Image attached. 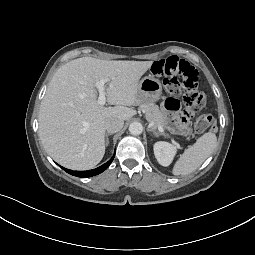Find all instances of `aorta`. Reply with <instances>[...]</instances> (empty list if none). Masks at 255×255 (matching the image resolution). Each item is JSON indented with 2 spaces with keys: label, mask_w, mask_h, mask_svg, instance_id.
Here are the masks:
<instances>
[{
  "label": "aorta",
  "mask_w": 255,
  "mask_h": 255,
  "mask_svg": "<svg viewBox=\"0 0 255 255\" xmlns=\"http://www.w3.org/2000/svg\"><path fill=\"white\" fill-rule=\"evenodd\" d=\"M129 132L132 135H140L143 132V126L139 122H133L129 125Z\"/></svg>",
  "instance_id": "aorta-1"
}]
</instances>
